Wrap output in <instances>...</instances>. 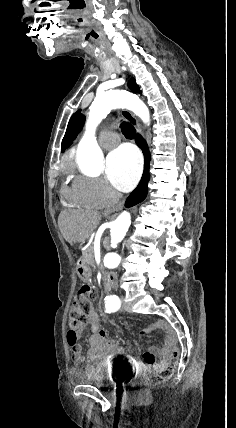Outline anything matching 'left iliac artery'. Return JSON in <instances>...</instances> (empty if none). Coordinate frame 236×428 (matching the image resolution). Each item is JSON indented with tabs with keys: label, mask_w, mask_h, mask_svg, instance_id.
Returning a JSON list of instances; mask_svg holds the SVG:
<instances>
[{
	"label": "left iliac artery",
	"mask_w": 236,
	"mask_h": 428,
	"mask_svg": "<svg viewBox=\"0 0 236 428\" xmlns=\"http://www.w3.org/2000/svg\"><path fill=\"white\" fill-rule=\"evenodd\" d=\"M104 300L107 313L115 312L121 306V301L116 295L106 296Z\"/></svg>",
	"instance_id": "left-iliac-artery-1"
}]
</instances>
